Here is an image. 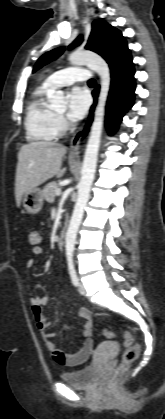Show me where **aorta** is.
<instances>
[{
  "label": "aorta",
  "mask_w": 165,
  "mask_h": 419,
  "mask_svg": "<svg viewBox=\"0 0 165 419\" xmlns=\"http://www.w3.org/2000/svg\"><path fill=\"white\" fill-rule=\"evenodd\" d=\"M69 61L73 65H86L91 70L95 71L100 77L101 86L98 103L94 112V121L92 123L81 169V180L78 186V197L65 238L67 261L68 264H72L77 232L81 224L84 209L89 199L91 185L94 180L103 129L105 106L111 84V74L106 61L99 55L90 51H75L69 56ZM49 101L50 106L53 109L59 110L64 108V93L60 90L56 91L50 97Z\"/></svg>",
  "instance_id": "762f6f07"
}]
</instances>
